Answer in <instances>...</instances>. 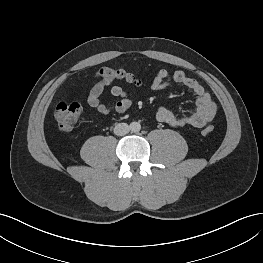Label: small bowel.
<instances>
[{"mask_svg":"<svg viewBox=\"0 0 263 263\" xmlns=\"http://www.w3.org/2000/svg\"><path fill=\"white\" fill-rule=\"evenodd\" d=\"M171 76V77H170ZM182 85L188 88L196 100V110L190 114H176L167 107L161 106L156 111V119L174 128L195 127L202 128L211 123L216 113V104L207 90L197 81L186 75L183 71H175L172 75L166 69L159 70L151 82L153 91H161L173 85ZM108 83L99 81L89 89L86 102L101 115L122 114L132 105L131 94L118 85L110 87V93L118 100L111 104L101 101Z\"/></svg>","mask_w":263,"mask_h":263,"instance_id":"small-bowel-1","label":"small bowel"}]
</instances>
